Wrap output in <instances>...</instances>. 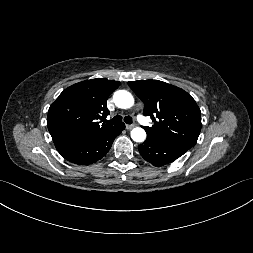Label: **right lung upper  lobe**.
Segmentation results:
<instances>
[{
    "label": "right lung upper lobe",
    "mask_w": 253,
    "mask_h": 253,
    "mask_svg": "<svg viewBox=\"0 0 253 253\" xmlns=\"http://www.w3.org/2000/svg\"><path fill=\"white\" fill-rule=\"evenodd\" d=\"M120 82L96 78L76 83L59 95L48 110L47 125L57 150L107 131V99Z\"/></svg>",
    "instance_id": "obj_1"
}]
</instances>
